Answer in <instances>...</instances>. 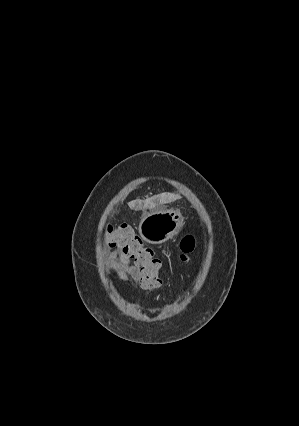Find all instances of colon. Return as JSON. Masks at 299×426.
<instances>
[{
    "instance_id": "1",
    "label": "colon",
    "mask_w": 299,
    "mask_h": 426,
    "mask_svg": "<svg viewBox=\"0 0 299 426\" xmlns=\"http://www.w3.org/2000/svg\"><path fill=\"white\" fill-rule=\"evenodd\" d=\"M107 246L120 249L139 268L141 277L140 288L148 294H153L161 285L159 270L161 261L154 251L143 243V240L127 225L117 227L107 226L104 231ZM196 247V240L192 235H185L179 244L180 259L188 262Z\"/></svg>"
}]
</instances>
